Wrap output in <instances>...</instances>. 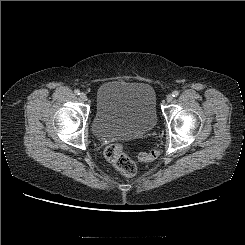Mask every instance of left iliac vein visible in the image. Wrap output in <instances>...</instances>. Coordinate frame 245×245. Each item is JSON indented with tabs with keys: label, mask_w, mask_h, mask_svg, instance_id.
Instances as JSON below:
<instances>
[{
	"label": "left iliac vein",
	"mask_w": 245,
	"mask_h": 245,
	"mask_svg": "<svg viewBox=\"0 0 245 245\" xmlns=\"http://www.w3.org/2000/svg\"><path fill=\"white\" fill-rule=\"evenodd\" d=\"M173 100V96L171 94L166 96V101L171 102Z\"/></svg>",
	"instance_id": "left-iliac-vein-1"
}]
</instances>
